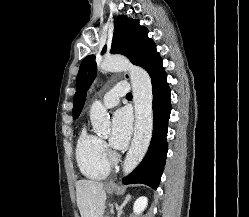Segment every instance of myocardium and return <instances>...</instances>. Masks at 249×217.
<instances>
[{
	"instance_id": "obj_1",
	"label": "myocardium",
	"mask_w": 249,
	"mask_h": 217,
	"mask_svg": "<svg viewBox=\"0 0 249 217\" xmlns=\"http://www.w3.org/2000/svg\"><path fill=\"white\" fill-rule=\"evenodd\" d=\"M109 160H110L111 162H114V161L117 160V156L114 155V154H110Z\"/></svg>"
}]
</instances>
